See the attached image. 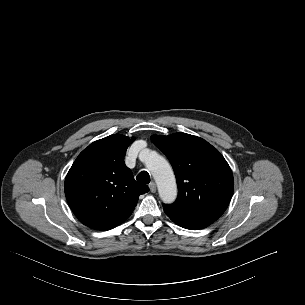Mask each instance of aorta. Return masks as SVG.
Returning a JSON list of instances; mask_svg holds the SVG:
<instances>
[{
    "label": "aorta",
    "mask_w": 305,
    "mask_h": 305,
    "mask_svg": "<svg viewBox=\"0 0 305 305\" xmlns=\"http://www.w3.org/2000/svg\"><path fill=\"white\" fill-rule=\"evenodd\" d=\"M144 161L157 183L161 200L165 203L174 202L177 197V184L167 160L155 152L147 151Z\"/></svg>",
    "instance_id": "aorta-1"
}]
</instances>
